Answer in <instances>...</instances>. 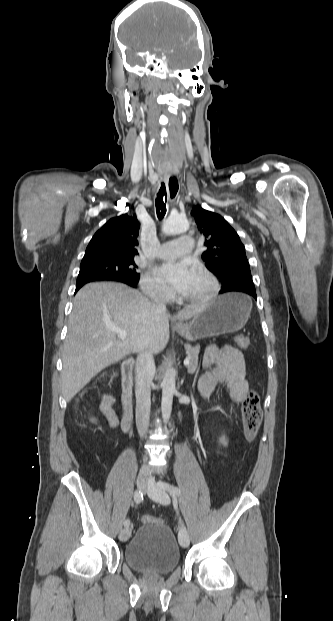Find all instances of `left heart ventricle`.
Segmentation results:
<instances>
[{
  "label": "left heart ventricle",
  "instance_id": "left-heart-ventricle-1",
  "mask_svg": "<svg viewBox=\"0 0 333 621\" xmlns=\"http://www.w3.org/2000/svg\"><path fill=\"white\" fill-rule=\"evenodd\" d=\"M210 283L206 277L194 270V275L188 286L180 293L183 297H195L206 294L210 290Z\"/></svg>",
  "mask_w": 333,
  "mask_h": 621
}]
</instances>
